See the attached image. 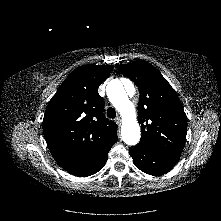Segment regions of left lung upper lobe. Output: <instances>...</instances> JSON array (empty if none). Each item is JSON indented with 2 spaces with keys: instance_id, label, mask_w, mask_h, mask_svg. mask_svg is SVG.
<instances>
[{
  "instance_id": "1",
  "label": "left lung upper lobe",
  "mask_w": 221,
  "mask_h": 221,
  "mask_svg": "<svg viewBox=\"0 0 221 221\" xmlns=\"http://www.w3.org/2000/svg\"><path fill=\"white\" fill-rule=\"evenodd\" d=\"M117 67L123 75L135 82L140 91V143L180 156L186 141L187 117L174 89L145 60Z\"/></svg>"
}]
</instances>
